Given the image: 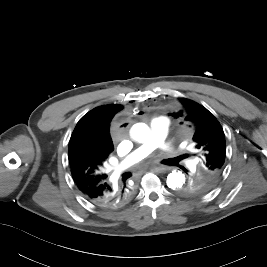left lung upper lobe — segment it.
Masks as SVG:
<instances>
[{"label":"left lung upper lobe","instance_id":"1","mask_svg":"<svg viewBox=\"0 0 267 267\" xmlns=\"http://www.w3.org/2000/svg\"><path fill=\"white\" fill-rule=\"evenodd\" d=\"M185 111V120L195 127L193 141L202 154L200 170L179 189L184 196L201 195L211 191L218 183L225 163L226 142L223 129L205 107L181 98ZM177 116V114H173Z\"/></svg>","mask_w":267,"mask_h":267}]
</instances>
